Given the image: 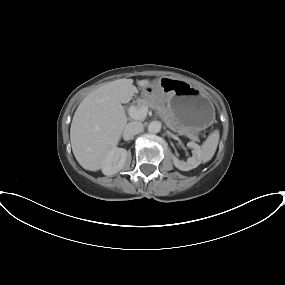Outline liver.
Here are the masks:
<instances>
[{"label":"liver","mask_w":285,"mask_h":285,"mask_svg":"<svg viewBox=\"0 0 285 285\" xmlns=\"http://www.w3.org/2000/svg\"><path fill=\"white\" fill-rule=\"evenodd\" d=\"M139 87L149 80H138ZM138 92L133 79L108 82L89 93L75 111L70 128L73 154L86 170L101 168L110 150L118 144L127 124L122 104L130 102Z\"/></svg>","instance_id":"obj_1"}]
</instances>
